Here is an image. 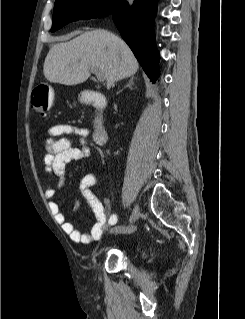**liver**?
I'll return each instance as SVG.
<instances>
[{"mask_svg": "<svg viewBox=\"0 0 245 319\" xmlns=\"http://www.w3.org/2000/svg\"><path fill=\"white\" fill-rule=\"evenodd\" d=\"M138 68V61L120 37L96 29L53 45L43 73L50 82L72 86L85 82L91 69H99L104 72L107 88H111L116 81L134 75Z\"/></svg>", "mask_w": 245, "mask_h": 319, "instance_id": "1", "label": "liver"}]
</instances>
